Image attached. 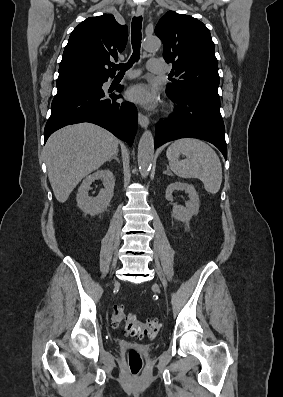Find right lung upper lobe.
<instances>
[{"instance_id":"cb5924a9","label":"right lung upper lobe","mask_w":283,"mask_h":397,"mask_svg":"<svg viewBox=\"0 0 283 397\" xmlns=\"http://www.w3.org/2000/svg\"><path fill=\"white\" fill-rule=\"evenodd\" d=\"M128 28L113 15L103 14L81 22L71 33L59 66L57 81L107 80L113 77L111 61L127 43Z\"/></svg>"}]
</instances>
